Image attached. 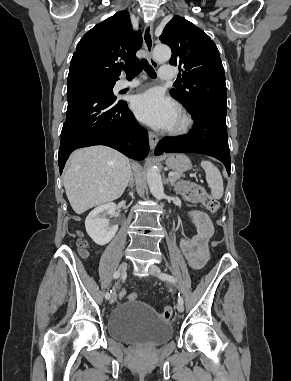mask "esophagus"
I'll return each instance as SVG.
<instances>
[{
	"mask_svg": "<svg viewBox=\"0 0 291 381\" xmlns=\"http://www.w3.org/2000/svg\"><path fill=\"white\" fill-rule=\"evenodd\" d=\"M153 22H149L144 29L143 33V44L147 53V59L151 66L154 68L158 67L157 61L153 57ZM149 145L153 150L158 143V136L153 132H149Z\"/></svg>",
	"mask_w": 291,
	"mask_h": 381,
	"instance_id": "obj_1",
	"label": "esophagus"
}]
</instances>
